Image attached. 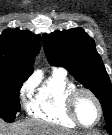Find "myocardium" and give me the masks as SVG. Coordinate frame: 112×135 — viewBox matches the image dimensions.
<instances>
[{
    "instance_id": "obj_1",
    "label": "myocardium",
    "mask_w": 112,
    "mask_h": 135,
    "mask_svg": "<svg viewBox=\"0 0 112 135\" xmlns=\"http://www.w3.org/2000/svg\"><path fill=\"white\" fill-rule=\"evenodd\" d=\"M81 93H85V94L89 95L97 106L98 117L93 124H90V125L84 124L80 120V118L77 114L76 98ZM66 107H67L68 113H69L70 117L73 119V121L78 126L83 127V128H91V127L96 126L100 122L102 115H103V108H102V104H101L99 98L96 96V94L92 90H90L86 87H74L72 90H70L66 95Z\"/></svg>"
}]
</instances>
